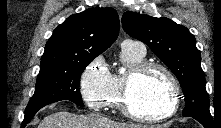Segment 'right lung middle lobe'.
Returning a JSON list of instances; mask_svg holds the SVG:
<instances>
[{"label": "right lung middle lobe", "mask_w": 221, "mask_h": 128, "mask_svg": "<svg viewBox=\"0 0 221 128\" xmlns=\"http://www.w3.org/2000/svg\"><path fill=\"white\" fill-rule=\"evenodd\" d=\"M93 59L88 58L63 67L40 70L34 95L29 101L25 113L60 100H70L83 107L79 90L80 77Z\"/></svg>", "instance_id": "1"}]
</instances>
